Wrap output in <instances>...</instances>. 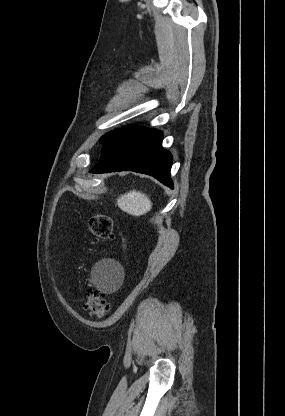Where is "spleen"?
<instances>
[{
    "instance_id": "1",
    "label": "spleen",
    "mask_w": 285,
    "mask_h": 416,
    "mask_svg": "<svg viewBox=\"0 0 285 416\" xmlns=\"http://www.w3.org/2000/svg\"><path fill=\"white\" fill-rule=\"evenodd\" d=\"M117 206L126 214H131V216H143V214L150 212L152 202L146 194L132 190V192L118 198Z\"/></svg>"
}]
</instances>
